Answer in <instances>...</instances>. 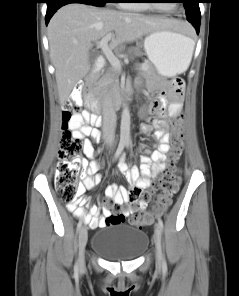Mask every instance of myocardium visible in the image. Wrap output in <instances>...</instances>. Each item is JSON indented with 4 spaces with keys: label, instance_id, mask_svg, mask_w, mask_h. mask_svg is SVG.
<instances>
[{
    "label": "myocardium",
    "instance_id": "obj_1",
    "mask_svg": "<svg viewBox=\"0 0 239 296\" xmlns=\"http://www.w3.org/2000/svg\"><path fill=\"white\" fill-rule=\"evenodd\" d=\"M146 6L160 12H168V10L163 9L154 3V0H146Z\"/></svg>",
    "mask_w": 239,
    "mask_h": 296
}]
</instances>
